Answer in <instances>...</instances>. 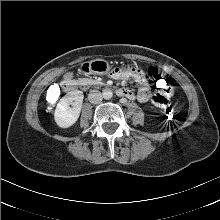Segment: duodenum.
I'll return each instance as SVG.
<instances>
[{
  "label": "duodenum",
  "mask_w": 220,
  "mask_h": 220,
  "mask_svg": "<svg viewBox=\"0 0 220 220\" xmlns=\"http://www.w3.org/2000/svg\"><path fill=\"white\" fill-rule=\"evenodd\" d=\"M76 87H77V84L73 80H68L63 84V89L67 92L75 90ZM116 93L118 96H121V97H126V98L129 97V92L126 89H117Z\"/></svg>",
  "instance_id": "obj_1"
}]
</instances>
